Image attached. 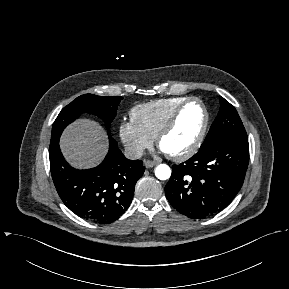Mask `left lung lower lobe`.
Here are the masks:
<instances>
[{"label": "left lung lower lobe", "mask_w": 289, "mask_h": 289, "mask_svg": "<svg viewBox=\"0 0 289 289\" xmlns=\"http://www.w3.org/2000/svg\"><path fill=\"white\" fill-rule=\"evenodd\" d=\"M249 161L247 137L219 135L202 144L189 160L173 165L165 186L171 205L189 218L220 212L239 192Z\"/></svg>", "instance_id": "1"}]
</instances>
